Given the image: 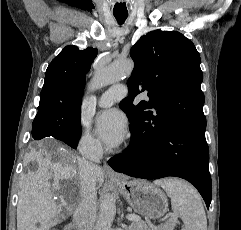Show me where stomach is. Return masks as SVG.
I'll return each instance as SVG.
<instances>
[{
	"instance_id": "1",
	"label": "stomach",
	"mask_w": 241,
	"mask_h": 230,
	"mask_svg": "<svg viewBox=\"0 0 241 230\" xmlns=\"http://www.w3.org/2000/svg\"><path fill=\"white\" fill-rule=\"evenodd\" d=\"M115 184L136 213L147 219H158L167 213V197L156 185L144 180L126 179Z\"/></svg>"
}]
</instances>
